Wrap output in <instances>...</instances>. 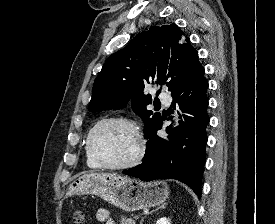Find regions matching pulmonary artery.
Instances as JSON below:
<instances>
[{
    "mask_svg": "<svg viewBox=\"0 0 275 224\" xmlns=\"http://www.w3.org/2000/svg\"><path fill=\"white\" fill-rule=\"evenodd\" d=\"M159 100L161 102H163V103H167L168 104L171 101V97H170V95L167 92L161 91L159 93Z\"/></svg>",
    "mask_w": 275,
    "mask_h": 224,
    "instance_id": "e3ab8cb5",
    "label": "pulmonary artery"
}]
</instances>
